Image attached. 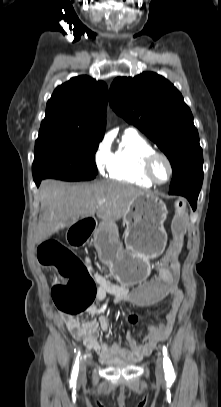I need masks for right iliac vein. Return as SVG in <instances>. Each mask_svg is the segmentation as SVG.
Here are the masks:
<instances>
[{
	"label": "right iliac vein",
	"instance_id": "63e3f726",
	"mask_svg": "<svg viewBox=\"0 0 221 407\" xmlns=\"http://www.w3.org/2000/svg\"><path fill=\"white\" fill-rule=\"evenodd\" d=\"M86 370V363L85 361H82L80 364V370H79V374L80 376H83Z\"/></svg>",
	"mask_w": 221,
	"mask_h": 407
}]
</instances>
